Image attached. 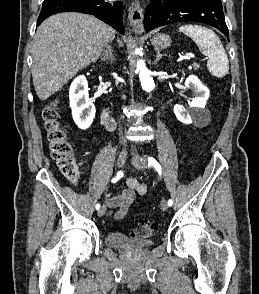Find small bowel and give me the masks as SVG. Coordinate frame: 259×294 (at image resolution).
<instances>
[{"mask_svg": "<svg viewBox=\"0 0 259 294\" xmlns=\"http://www.w3.org/2000/svg\"><path fill=\"white\" fill-rule=\"evenodd\" d=\"M147 191V187L137 181L135 178H128L126 180V188L119 194L108 198L105 201L110 213L114 212L116 219H122L126 216L129 207L135 200L137 194L143 195Z\"/></svg>", "mask_w": 259, "mask_h": 294, "instance_id": "obj_1", "label": "small bowel"}]
</instances>
